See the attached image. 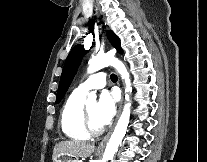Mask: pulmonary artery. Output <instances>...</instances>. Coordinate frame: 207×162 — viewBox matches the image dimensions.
Listing matches in <instances>:
<instances>
[{"instance_id": "e3ab8cb5", "label": "pulmonary artery", "mask_w": 207, "mask_h": 162, "mask_svg": "<svg viewBox=\"0 0 207 162\" xmlns=\"http://www.w3.org/2000/svg\"><path fill=\"white\" fill-rule=\"evenodd\" d=\"M106 85V73L97 72L90 76L87 80L79 84L76 88L81 93H88L91 90L101 89Z\"/></svg>"}]
</instances>
